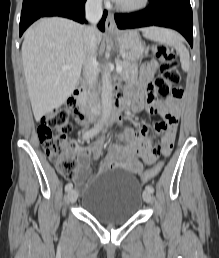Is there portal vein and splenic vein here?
<instances>
[{"instance_id":"18ae733b","label":"portal vein and splenic vein","mask_w":219,"mask_h":258,"mask_svg":"<svg viewBox=\"0 0 219 258\" xmlns=\"http://www.w3.org/2000/svg\"><path fill=\"white\" fill-rule=\"evenodd\" d=\"M71 68H72V66H70V65H63L62 66L63 70H68V69H71ZM122 70H123V67L121 65L117 64V66H116L117 73H120Z\"/></svg>"}]
</instances>
